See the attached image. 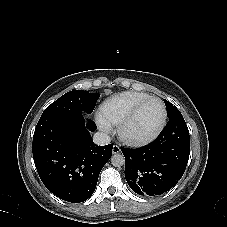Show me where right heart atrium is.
Here are the masks:
<instances>
[{
  "instance_id": "obj_1",
  "label": "right heart atrium",
  "mask_w": 227,
  "mask_h": 227,
  "mask_svg": "<svg viewBox=\"0 0 227 227\" xmlns=\"http://www.w3.org/2000/svg\"><path fill=\"white\" fill-rule=\"evenodd\" d=\"M97 123H98V126H99L101 131H103L105 133H108V132L111 131V124L108 123L107 121L99 118Z\"/></svg>"
}]
</instances>
